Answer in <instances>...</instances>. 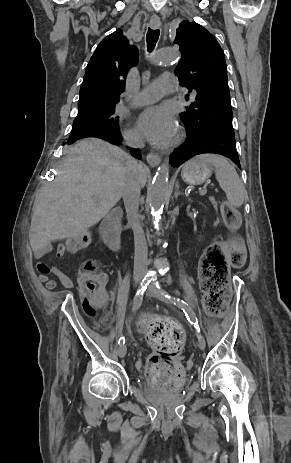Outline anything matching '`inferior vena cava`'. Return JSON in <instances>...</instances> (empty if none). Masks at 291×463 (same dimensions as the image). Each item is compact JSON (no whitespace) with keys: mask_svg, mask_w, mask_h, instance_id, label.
<instances>
[{"mask_svg":"<svg viewBox=\"0 0 291 463\" xmlns=\"http://www.w3.org/2000/svg\"><path fill=\"white\" fill-rule=\"evenodd\" d=\"M124 139L131 147L143 148L145 146L144 139L137 133L126 134ZM139 168L140 164L137 160L130 157V174L123 190V200L126 213L134 232L136 260L141 258L146 259L148 255L147 242L140 223V215L138 211L141 190L138 176ZM139 275L143 277L145 275V271L140 270Z\"/></svg>","mask_w":291,"mask_h":463,"instance_id":"602c4592","label":"inferior vena cava"}]
</instances>
